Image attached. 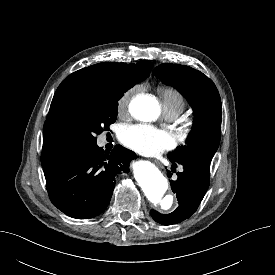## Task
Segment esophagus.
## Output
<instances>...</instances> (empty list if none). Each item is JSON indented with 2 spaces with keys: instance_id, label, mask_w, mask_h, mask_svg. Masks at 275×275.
<instances>
[{
  "instance_id": "obj_1",
  "label": "esophagus",
  "mask_w": 275,
  "mask_h": 275,
  "mask_svg": "<svg viewBox=\"0 0 275 275\" xmlns=\"http://www.w3.org/2000/svg\"><path fill=\"white\" fill-rule=\"evenodd\" d=\"M154 162L157 164V165H161V163L159 162V161H157V160H154Z\"/></svg>"
}]
</instances>
